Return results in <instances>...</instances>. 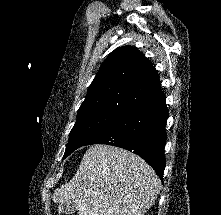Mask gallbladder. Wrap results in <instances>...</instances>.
<instances>
[{"label":"gallbladder","instance_id":"gallbladder-1","mask_svg":"<svg viewBox=\"0 0 221 215\" xmlns=\"http://www.w3.org/2000/svg\"><path fill=\"white\" fill-rule=\"evenodd\" d=\"M59 213H65L67 215H71L76 211V207L73 202H67L60 204L58 207Z\"/></svg>","mask_w":221,"mask_h":215}]
</instances>
